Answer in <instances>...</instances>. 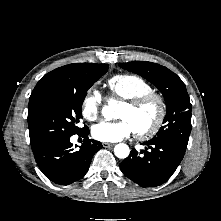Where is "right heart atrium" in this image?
<instances>
[{
    "label": "right heart atrium",
    "instance_id": "obj_1",
    "mask_svg": "<svg viewBox=\"0 0 221 221\" xmlns=\"http://www.w3.org/2000/svg\"><path fill=\"white\" fill-rule=\"evenodd\" d=\"M103 97L99 90L91 89L84 96L81 104L82 116L90 122L97 120L101 112Z\"/></svg>",
    "mask_w": 221,
    "mask_h": 221
}]
</instances>
